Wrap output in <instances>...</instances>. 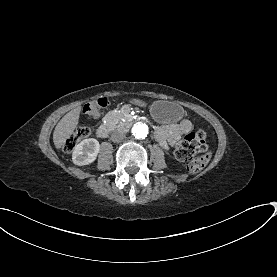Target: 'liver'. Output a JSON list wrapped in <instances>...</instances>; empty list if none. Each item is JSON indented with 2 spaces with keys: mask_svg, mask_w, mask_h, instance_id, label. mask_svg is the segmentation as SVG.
Returning <instances> with one entry per match:
<instances>
[{
  "mask_svg": "<svg viewBox=\"0 0 277 277\" xmlns=\"http://www.w3.org/2000/svg\"><path fill=\"white\" fill-rule=\"evenodd\" d=\"M80 111V106L69 111L56 125L53 132V142L57 149H60L65 144L66 140L70 138L76 129Z\"/></svg>",
  "mask_w": 277,
  "mask_h": 277,
  "instance_id": "liver-1",
  "label": "liver"
}]
</instances>
